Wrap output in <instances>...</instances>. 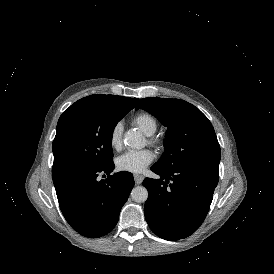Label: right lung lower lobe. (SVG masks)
Wrapping results in <instances>:
<instances>
[{"instance_id": "1", "label": "right lung lower lobe", "mask_w": 274, "mask_h": 274, "mask_svg": "<svg viewBox=\"0 0 274 274\" xmlns=\"http://www.w3.org/2000/svg\"><path fill=\"white\" fill-rule=\"evenodd\" d=\"M113 169L114 163L106 167L76 166L52 174L65 219L85 237H101L115 227L134 186L132 173L109 175ZM104 173L107 179L100 180L99 175Z\"/></svg>"}]
</instances>
